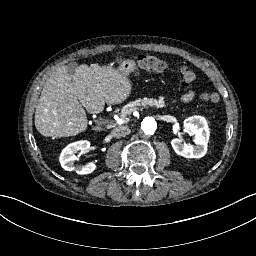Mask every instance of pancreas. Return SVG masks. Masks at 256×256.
<instances>
[{
  "mask_svg": "<svg viewBox=\"0 0 256 256\" xmlns=\"http://www.w3.org/2000/svg\"><path fill=\"white\" fill-rule=\"evenodd\" d=\"M144 102L146 105L154 106L155 108H164L169 106V103H166L163 98H160L159 100H151V99H145V100H137L132 105H138L140 106L141 103ZM130 106H126L122 112L123 116H128L131 114V112H127ZM171 110H173V107H171Z\"/></svg>",
  "mask_w": 256,
  "mask_h": 256,
  "instance_id": "cf45deb5",
  "label": "pancreas"
}]
</instances>
